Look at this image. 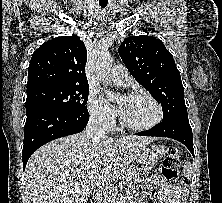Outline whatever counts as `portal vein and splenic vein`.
I'll list each match as a JSON object with an SVG mask.
<instances>
[{"label": "portal vein and splenic vein", "mask_w": 222, "mask_h": 203, "mask_svg": "<svg viewBox=\"0 0 222 203\" xmlns=\"http://www.w3.org/2000/svg\"><path fill=\"white\" fill-rule=\"evenodd\" d=\"M125 180L128 181L129 178H126ZM106 188H107V189H110V188H112V187H111V185H110V186H107Z\"/></svg>", "instance_id": "18ae733b"}]
</instances>
